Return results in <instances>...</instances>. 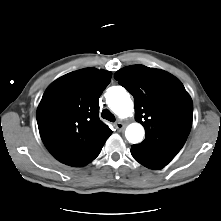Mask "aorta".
<instances>
[{
  "label": "aorta",
  "mask_w": 221,
  "mask_h": 221,
  "mask_svg": "<svg viewBox=\"0 0 221 221\" xmlns=\"http://www.w3.org/2000/svg\"><path fill=\"white\" fill-rule=\"evenodd\" d=\"M107 102L112 111L121 118H127L132 115L134 105L129 93L120 86L112 87L107 92ZM145 131L141 124L132 123L127 126L125 136L127 140L136 144L143 140Z\"/></svg>",
  "instance_id": "obj_1"
}]
</instances>
